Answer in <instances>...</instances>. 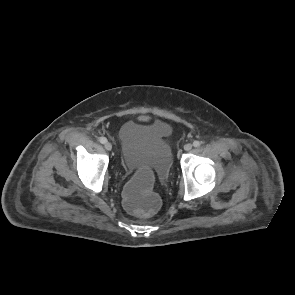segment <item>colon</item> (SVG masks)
Wrapping results in <instances>:
<instances>
[{
	"mask_svg": "<svg viewBox=\"0 0 295 295\" xmlns=\"http://www.w3.org/2000/svg\"><path fill=\"white\" fill-rule=\"evenodd\" d=\"M156 173L149 166H140L133 173L121 196L123 207L137 217H150L159 207V197L152 191Z\"/></svg>",
	"mask_w": 295,
	"mask_h": 295,
	"instance_id": "obj_1",
	"label": "colon"
}]
</instances>
